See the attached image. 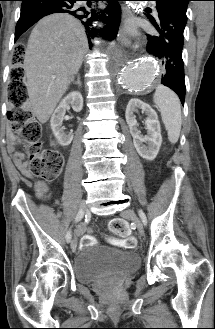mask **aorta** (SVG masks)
Masks as SVG:
<instances>
[{"label":"aorta","instance_id":"1","mask_svg":"<svg viewBox=\"0 0 215 329\" xmlns=\"http://www.w3.org/2000/svg\"><path fill=\"white\" fill-rule=\"evenodd\" d=\"M136 6V2H132ZM116 74L121 86L128 91H143L154 82L158 74V67L154 61L140 60L128 62L122 59L116 67Z\"/></svg>","mask_w":215,"mask_h":329}]
</instances>
